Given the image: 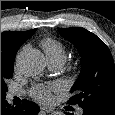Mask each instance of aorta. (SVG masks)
<instances>
[{
    "label": "aorta",
    "instance_id": "1",
    "mask_svg": "<svg viewBox=\"0 0 115 115\" xmlns=\"http://www.w3.org/2000/svg\"><path fill=\"white\" fill-rule=\"evenodd\" d=\"M17 66L26 76H36L45 68L44 55L36 49H27L17 55ZM51 115H65L62 111H54Z\"/></svg>",
    "mask_w": 115,
    "mask_h": 115
}]
</instances>
